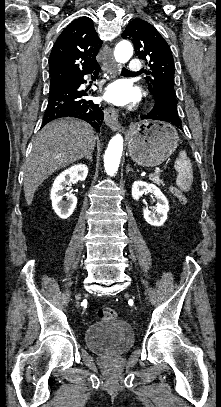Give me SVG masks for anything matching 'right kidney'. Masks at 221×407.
<instances>
[{"label":"right kidney","instance_id":"right-kidney-1","mask_svg":"<svg viewBox=\"0 0 221 407\" xmlns=\"http://www.w3.org/2000/svg\"><path fill=\"white\" fill-rule=\"evenodd\" d=\"M87 175V165L78 164L66 169L55 178L51 188L50 198L53 210L61 219L70 217L77 204L75 195L65 192V190H69L67 186H71L74 180L84 181ZM64 196L67 197L66 202L63 201Z\"/></svg>","mask_w":221,"mask_h":407}]
</instances>
